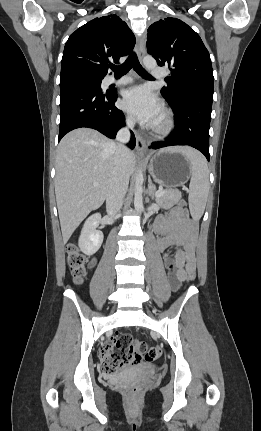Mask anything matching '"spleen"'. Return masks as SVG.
<instances>
[{
	"label": "spleen",
	"instance_id": "1",
	"mask_svg": "<svg viewBox=\"0 0 261 431\" xmlns=\"http://www.w3.org/2000/svg\"><path fill=\"white\" fill-rule=\"evenodd\" d=\"M166 150L181 153L191 164L189 208L192 215L204 213L209 192V171L205 158L190 147H172Z\"/></svg>",
	"mask_w": 261,
	"mask_h": 431
}]
</instances>
